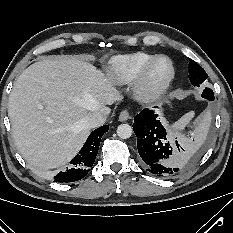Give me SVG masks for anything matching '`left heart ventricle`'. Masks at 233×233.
Masks as SVG:
<instances>
[{
	"label": "left heart ventricle",
	"instance_id": "1",
	"mask_svg": "<svg viewBox=\"0 0 233 233\" xmlns=\"http://www.w3.org/2000/svg\"><path fill=\"white\" fill-rule=\"evenodd\" d=\"M169 73V65L166 61H161L152 71V80L160 81L165 78Z\"/></svg>",
	"mask_w": 233,
	"mask_h": 233
}]
</instances>
